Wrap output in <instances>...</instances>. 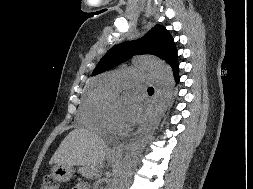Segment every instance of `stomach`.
<instances>
[{"label":"stomach","mask_w":253,"mask_h":189,"mask_svg":"<svg viewBox=\"0 0 253 189\" xmlns=\"http://www.w3.org/2000/svg\"><path fill=\"white\" fill-rule=\"evenodd\" d=\"M52 175L59 182H68L73 175L74 168L71 165H58L52 167Z\"/></svg>","instance_id":"1"}]
</instances>
